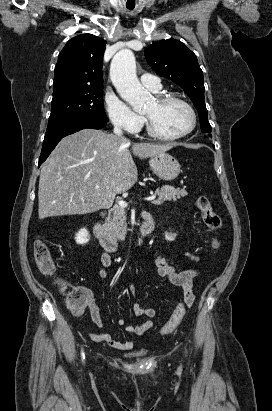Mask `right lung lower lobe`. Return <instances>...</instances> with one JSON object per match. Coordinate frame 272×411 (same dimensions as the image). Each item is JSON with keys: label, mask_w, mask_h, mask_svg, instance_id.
Segmentation results:
<instances>
[{"label": "right lung lower lobe", "mask_w": 272, "mask_h": 411, "mask_svg": "<svg viewBox=\"0 0 272 411\" xmlns=\"http://www.w3.org/2000/svg\"><path fill=\"white\" fill-rule=\"evenodd\" d=\"M107 122L95 121L90 119H81L73 121L58 129L46 132L44 137L41 155L39 158V166L47 159L49 154L55 148L57 143L65 136L75 133L84 128L100 129L106 125Z\"/></svg>", "instance_id": "1"}]
</instances>
